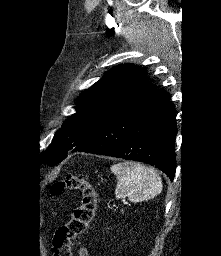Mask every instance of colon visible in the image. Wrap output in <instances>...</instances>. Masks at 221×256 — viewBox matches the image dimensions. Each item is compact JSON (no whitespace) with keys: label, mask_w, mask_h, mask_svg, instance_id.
Instances as JSON below:
<instances>
[{"label":"colon","mask_w":221,"mask_h":256,"mask_svg":"<svg viewBox=\"0 0 221 256\" xmlns=\"http://www.w3.org/2000/svg\"><path fill=\"white\" fill-rule=\"evenodd\" d=\"M66 191L78 192L81 204L73 210L69 223L54 234V256H72V242L88 231L98 204L97 192L85 175H70L51 186L53 195Z\"/></svg>","instance_id":"obj_1"}]
</instances>
